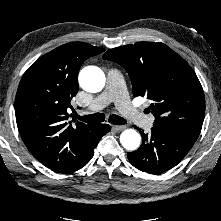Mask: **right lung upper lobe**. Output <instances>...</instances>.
<instances>
[{"mask_svg":"<svg viewBox=\"0 0 221 221\" xmlns=\"http://www.w3.org/2000/svg\"><path fill=\"white\" fill-rule=\"evenodd\" d=\"M103 48L82 42L61 45L41 56L24 73L15 99L16 122L28 150L52 168L75 155L80 140L96 124L67 123L72 98L78 92V72ZM75 122V120H73Z\"/></svg>","mask_w":221,"mask_h":221,"instance_id":"obj_1","label":"right lung upper lobe"}]
</instances>
